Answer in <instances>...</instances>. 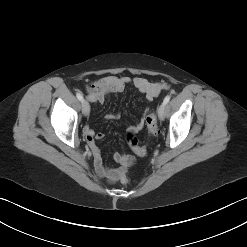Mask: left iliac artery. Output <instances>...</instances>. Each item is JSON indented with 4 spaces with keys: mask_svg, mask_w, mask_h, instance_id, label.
I'll return each mask as SVG.
<instances>
[{
    "mask_svg": "<svg viewBox=\"0 0 247 247\" xmlns=\"http://www.w3.org/2000/svg\"><path fill=\"white\" fill-rule=\"evenodd\" d=\"M170 101V96H166L163 103L166 105Z\"/></svg>",
    "mask_w": 247,
    "mask_h": 247,
    "instance_id": "left-iliac-artery-1",
    "label": "left iliac artery"
}]
</instances>
